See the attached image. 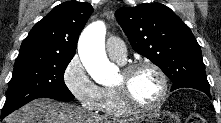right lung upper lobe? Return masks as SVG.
<instances>
[{
    "label": "right lung upper lobe",
    "mask_w": 221,
    "mask_h": 123,
    "mask_svg": "<svg viewBox=\"0 0 221 123\" xmlns=\"http://www.w3.org/2000/svg\"><path fill=\"white\" fill-rule=\"evenodd\" d=\"M92 12V6L87 2L68 1L56 6L34 25L19 53L74 55L79 34Z\"/></svg>",
    "instance_id": "cb5924a9"
}]
</instances>
